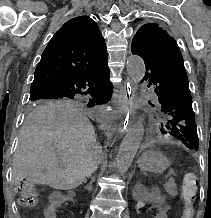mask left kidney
<instances>
[{"mask_svg":"<svg viewBox=\"0 0 211 218\" xmlns=\"http://www.w3.org/2000/svg\"><path fill=\"white\" fill-rule=\"evenodd\" d=\"M147 203L149 207H154L153 218H164V215H169L172 212V207H167L166 198H151L148 194L147 198H140V202H136L137 215H144Z\"/></svg>","mask_w":211,"mask_h":218,"instance_id":"obj_1","label":"left kidney"}]
</instances>
